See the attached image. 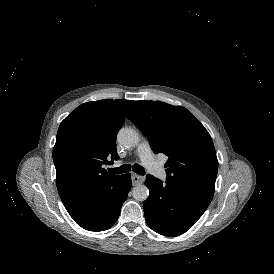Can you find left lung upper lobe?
Listing matches in <instances>:
<instances>
[{"instance_id":"left-lung-upper-lobe-1","label":"left lung upper lobe","mask_w":274,"mask_h":274,"mask_svg":"<svg viewBox=\"0 0 274 274\" xmlns=\"http://www.w3.org/2000/svg\"><path fill=\"white\" fill-rule=\"evenodd\" d=\"M127 117L147 136L155 153L168 156L167 180L214 194L216 151L208 131L186 108L135 101Z\"/></svg>"}]
</instances>
